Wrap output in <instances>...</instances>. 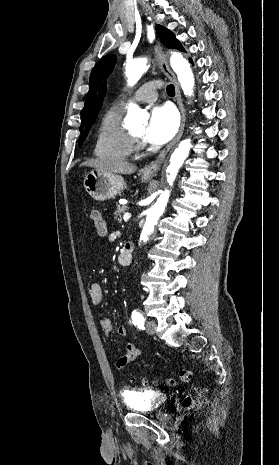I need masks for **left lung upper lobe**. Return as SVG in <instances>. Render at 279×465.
<instances>
[{
	"label": "left lung upper lobe",
	"mask_w": 279,
	"mask_h": 465,
	"mask_svg": "<svg viewBox=\"0 0 279 465\" xmlns=\"http://www.w3.org/2000/svg\"><path fill=\"white\" fill-rule=\"evenodd\" d=\"M156 31L158 36L160 37L161 42L167 48H176L179 50H183V47L181 46L180 42L175 38L174 34L171 31L160 25L156 27ZM114 63L115 56L107 55L103 57L93 68L89 79L90 88L86 96L85 106L81 113L80 130H82L83 126L85 125L88 119L99 84L102 82L104 76L112 71Z\"/></svg>",
	"instance_id": "obj_1"
}]
</instances>
